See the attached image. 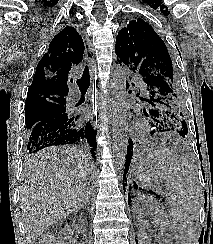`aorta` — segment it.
Returning a JSON list of instances; mask_svg holds the SVG:
<instances>
[{
  "label": "aorta",
  "instance_id": "aorta-1",
  "mask_svg": "<svg viewBox=\"0 0 213 244\" xmlns=\"http://www.w3.org/2000/svg\"><path fill=\"white\" fill-rule=\"evenodd\" d=\"M113 91V157L115 170L122 175L128 147L126 74L118 64L112 66Z\"/></svg>",
  "mask_w": 213,
  "mask_h": 244
}]
</instances>
